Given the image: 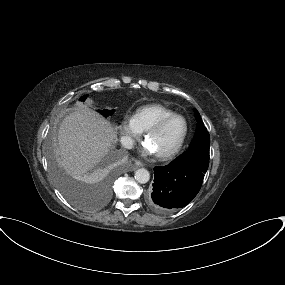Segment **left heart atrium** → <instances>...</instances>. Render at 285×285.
Returning a JSON list of instances; mask_svg holds the SVG:
<instances>
[{
	"label": "left heart atrium",
	"instance_id": "left-heart-atrium-1",
	"mask_svg": "<svg viewBox=\"0 0 285 285\" xmlns=\"http://www.w3.org/2000/svg\"><path fill=\"white\" fill-rule=\"evenodd\" d=\"M143 152H144V154H151V153H153L152 149L149 147L148 144L144 147Z\"/></svg>",
	"mask_w": 285,
	"mask_h": 285
}]
</instances>
